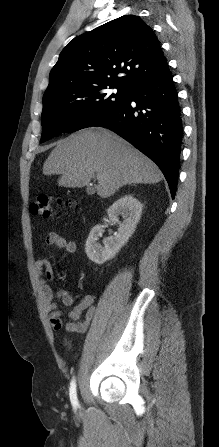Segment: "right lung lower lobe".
<instances>
[{"mask_svg":"<svg viewBox=\"0 0 219 447\" xmlns=\"http://www.w3.org/2000/svg\"><path fill=\"white\" fill-rule=\"evenodd\" d=\"M91 126L108 128L153 160L175 197L183 137L182 112L173 76L168 70L131 91Z\"/></svg>","mask_w":219,"mask_h":447,"instance_id":"obj_1","label":"right lung lower lobe"}]
</instances>
